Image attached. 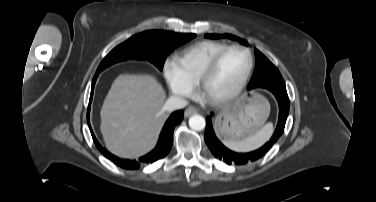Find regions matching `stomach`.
I'll return each mask as SVG.
<instances>
[{
  "instance_id": "1",
  "label": "stomach",
  "mask_w": 376,
  "mask_h": 202,
  "mask_svg": "<svg viewBox=\"0 0 376 202\" xmlns=\"http://www.w3.org/2000/svg\"><path fill=\"white\" fill-rule=\"evenodd\" d=\"M267 100L257 94L245 95L227 105L216 117V131L224 142H237L255 135L268 118Z\"/></svg>"
}]
</instances>
